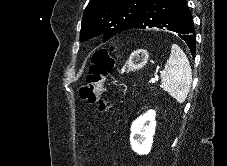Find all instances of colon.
I'll list each match as a JSON object with an SVG mask.
<instances>
[{"mask_svg": "<svg viewBox=\"0 0 227 166\" xmlns=\"http://www.w3.org/2000/svg\"><path fill=\"white\" fill-rule=\"evenodd\" d=\"M114 66V60L105 49L98 50L92 57V64L85 84L80 89V98L89 104H99V111L112 107L111 101L102 100L103 84Z\"/></svg>", "mask_w": 227, "mask_h": 166, "instance_id": "obj_1", "label": "colon"}]
</instances>
